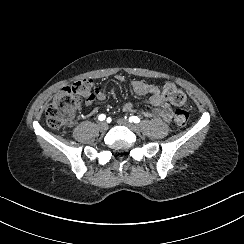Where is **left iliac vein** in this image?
<instances>
[{"instance_id":"obj_1","label":"left iliac vein","mask_w":244,"mask_h":244,"mask_svg":"<svg viewBox=\"0 0 244 244\" xmlns=\"http://www.w3.org/2000/svg\"><path fill=\"white\" fill-rule=\"evenodd\" d=\"M117 123L122 125V126L127 127L128 129H130L133 132H136L138 130V127L136 126V124L130 123L129 121H127L124 118H119L117 120Z\"/></svg>"}]
</instances>
